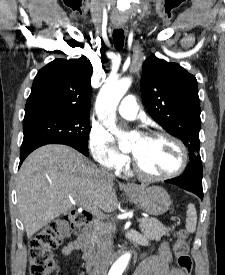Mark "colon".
Masks as SVG:
<instances>
[{"mask_svg": "<svg viewBox=\"0 0 225 275\" xmlns=\"http://www.w3.org/2000/svg\"><path fill=\"white\" fill-rule=\"evenodd\" d=\"M90 218L91 214L87 211H71L65 217L51 221L40 230L30 243V275H50L56 263L54 250L72 233L79 231ZM187 239L186 229L177 231L174 254L183 274L191 275L193 264Z\"/></svg>", "mask_w": 225, "mask_h": 275, "instance_id": "5ec220e1", "label": "colon"}]
</instances>
